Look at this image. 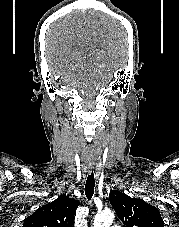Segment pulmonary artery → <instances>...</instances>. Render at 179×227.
Masks as SVG:
<instances>
[{
	"mask_svg": "<svg viewBox=\"0 0 179 227\" xmlns=\"http://www.w3.org/2000/svg\"><path fill=\"white\" fill-rule=\"evenodd\" d=\"M111 227H120V226H118V225H112Z\"/></svg>",
	"mask_w": 179,
	"mask_h": 227,
	"instance_id": "pulmonary-artery-1",
	"label": "pulmonary artery"
}]
</instances>
